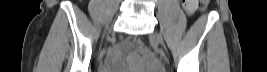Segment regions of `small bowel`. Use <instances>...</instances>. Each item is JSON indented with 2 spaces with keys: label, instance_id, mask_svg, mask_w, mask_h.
Masks as SVG:
<instances>
[{
  "label": "small bowel",
  "instance_id": "1",
  "mask_svg": "<svg viewBox=\"0 0 267 72\" xmlns=\"http://www.w3.org/2000/svg\"><path fill=\"white\" fill-rule=\"evenodd\" d=\"M183 7L189 14H192L197 10V7H198L197 1L196 0H185L183 1Z\"/></svg>",
  "mask_w": 267,
  "mask_h": 72
}]
</instances>
